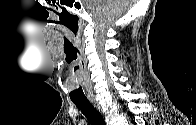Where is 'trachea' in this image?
Returning a JSON list of instances; mask_svg holds the SVG:
<instances>
[{
    "label": "trachea",
    "mask_w": 196,
    "mask_h": 125,
    "mask_svg": "<svg viewBox=\"0 0 196 125\" xmlns=\"http://www.w3.org/2000/svg\"><path fill=\"white\" fill-rule=\"evenodd\" d=\"M73 103L87 117L91 125H105L103 117L88 99L78 101L73 100Z\"/></svg>",
    "instance_id": "trachea-1"
}]
</instances>
